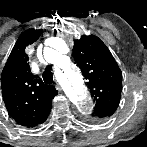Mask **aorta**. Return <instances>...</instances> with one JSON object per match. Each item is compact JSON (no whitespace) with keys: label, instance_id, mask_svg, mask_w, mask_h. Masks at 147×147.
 Returning a JSON list of instances; mask_svg holds the SVG:
<instances>
[{"label":"aorta","instance_id":"762f6f07","mask_svg":"<svg viewBox=\"0 0 147 147\" xmlns=\"http://www.w3.org/2000/svg\"><path fill=\"white\" fill-rule=\"evenodd\" d=\"M58 60V58H54ZM64 83L73 95H82L83 93V80L80 74L72 69H66L64 73Z\"/></svg>","mask_w":147,"mask_h":147}]
</instances>
